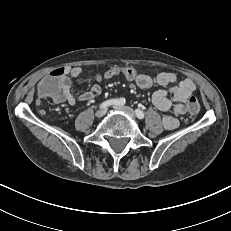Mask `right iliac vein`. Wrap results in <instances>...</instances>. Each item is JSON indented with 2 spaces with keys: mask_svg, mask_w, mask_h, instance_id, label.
Returning <instances> with one entry per match:
<instances>
[{
  "mask_svg": "<svg viewBox=\"0 0 231 231\" xmlns=\"http://www.w3.org/2000/svg\"><path fill=\"white\" fill-rule=\"evenodd\" d=\"M106 112H107V109H106V108H101V109H99V110L95 113V116H96L97 118H101V117H103V116L106 114Z\"/></svg>",
  "mask_w": 231,
  "mask_h": 231,
  "instance_id": "right-iliac-vein-1",
  "label": "right iliac vein"
}]
</instances>
